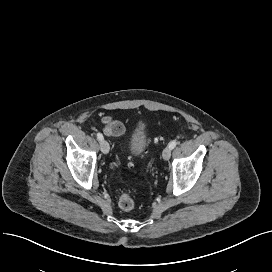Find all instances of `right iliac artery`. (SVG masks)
<instances>
[{"instance_id": "obj_1", "label": "right iliac artery", "mask_w": 272, "mask_h": 272, "mask_svg": "<svg viewBox=\"0 0 272 272\" xmlns=\"http://www.w3.org/2000/svg\"><path fill=\"white\" fill-rule=\"evenodd\" d=\"M97 139L99 141H102L103 140V135L101 133H97Z\"/></svg>"}]
</instances>
